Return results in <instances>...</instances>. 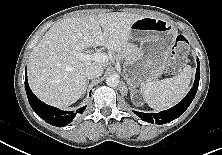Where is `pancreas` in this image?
I'll list each match as a JSON object with an SVG mask.
<instances>
[{"label": "pancreas", "mask_w": 222, "mask_h": 155, "mask_svg": "<svg viewBox=\"0 0 222 155\" xmlns=\"http://www.w3.org/2000/svg\"><path fill=\"white\" fill-rule=\"evenodd\" d=\"M134 49V46H131L128 50V52H123L121 54H118L117 55V58L119 59H123V58H126L127 60L129 59L130 57V53L132 52V50Z\"/></svg>", "instance_id": "pancreas-1"}]
</instances>
